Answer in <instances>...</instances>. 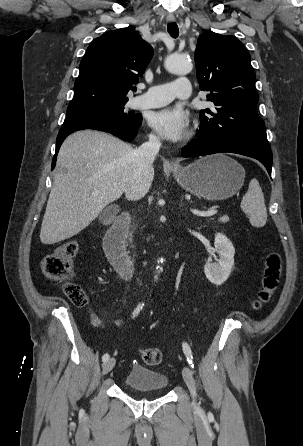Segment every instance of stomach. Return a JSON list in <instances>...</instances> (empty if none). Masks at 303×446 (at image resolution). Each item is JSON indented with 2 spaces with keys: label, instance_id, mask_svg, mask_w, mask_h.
<instances>
[{
  "label": "stomach",
  "instance_id": "stomach-1",
  "mask_svg": "<svg viewBox=\"0 0 303 446\" xmlns=\"http://www.w3.org/2000/svg\"><path fill=\"white\" fill-rule=\"evenodd\" d=\"M174 177L186 191L207 200H223L243 186L245 169L224 154L202 157L186 167H173Z\"/></svg>",
  "mask_w": 303,
  "mask_h": 446
}]
</instances>
